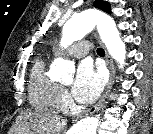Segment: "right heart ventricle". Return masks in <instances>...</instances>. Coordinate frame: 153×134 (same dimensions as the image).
Returning a JSON list of instances; mask_svg holds the SVG:
<instances>
[{
	"label": "right heart ventricle",
	"instance_id": "obj_1",
	"mask_svg": "<svg viewBox=\"0 0 153 134\" xmlns=\"http://www.w3.org/2000/svg\"><path fill=\"white\" fill-rule=\"evenodd\" d=\"M61 89L60 85L47 75L45 58H37L30 73V102L39 108L58 110L60 108Z\"/></svg>",
	"mask_w": 153,
	"mask_h": 134
}]
</instances>
